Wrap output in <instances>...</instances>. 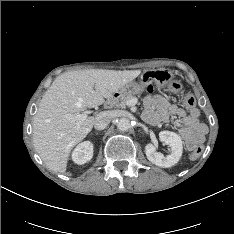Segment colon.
I'll return each instance as SVG.
<instances>
[{"label":"colon","instance_id":"obj_1","mask_svg":"<svg viewBox=\"0 0 234 234\" xmlns=\"http://www.w3.org/2000/svg\"><path fill=\"white\" fill-rule=\"evenodd\" d=\"M170 89L179 95L180 101L184 107L190 108L194 106L195 99L193 95L190 94L189 92L184 91L181 84L177 82H172L170 84ZM149 91H152L151 87H149ZM190 150H191V158L196 159L201 155L203 149L201 146H193L190 148Z\"/></svg>","mask_w":234,"mask_h":234}]
</instances>
